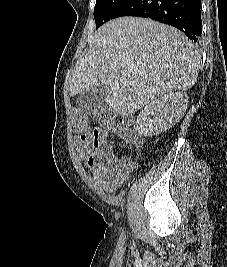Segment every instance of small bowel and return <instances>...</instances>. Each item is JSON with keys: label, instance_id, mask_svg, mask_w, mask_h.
Returning a JSON list of instances; mask_svg holds the SVG:
<instances>
[{"label": "small bowel", "instance_id": "1", "mask_svg": "<svg viewBox=\"0 0 227 267\" xmlns=\"http://www.w3.org/2000/svg\"><path fill=\"white\" fill-rule=\"evenodd\" d=\"M114 132L120 134L119 128H114ZM106 138L107 132L98 128L89 133L79 132L76 139V148L79 158L85 161L94 179L103 184L107 190H110V181L126 177L132 170L133 164L127 160L121 161L115 169L114 177L106 178L105 168L110 155L106 146Z\"/></svg>", "mask_w": 227, "mask_h": 267}]
</instances>
